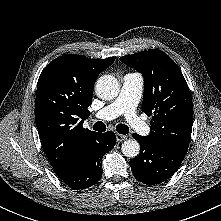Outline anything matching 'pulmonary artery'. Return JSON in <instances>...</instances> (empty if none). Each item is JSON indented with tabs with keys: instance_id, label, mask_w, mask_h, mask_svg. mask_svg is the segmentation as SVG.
Segmentation results:
<instances>
[{
	"instance_id": "obj_1",
	"label": "pulmonary artery",
	"mask_w": 221,
	"mask_h": 221,
	"mask_svg": "<svg viewBox=\"0 0 221 221\" xmlns=\"http://www.w3.org/2000/svg\"><path fill=\"white\" fill-rule=\"evenodd\" d=\"M144 79L139 73H126L122 78V86L118 97L98 111L99 120H112L123 114L131 128L139 135L146 136L150 132L149 125L138 117L136 107L143 91Z\"/></svg>"
}]
</instances>
